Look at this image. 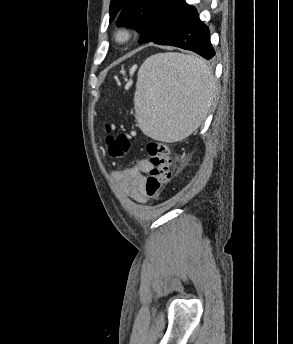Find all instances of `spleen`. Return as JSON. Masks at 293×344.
<instances>
[{
    "instance_id": "obj_1",
    "label": "spleen",
    "mask_w": 293,
    "mask_h": 344,
    "mask_svg": "<svg viewBox=\"0 0 293 344\" xmlns=\"http://www.w3.org/2000/svg\"><path fill=\"white\" fill-rule=\"evenodd\" d=\"M214 95L215 79L202 59L171 52L152 55L138 72V126L155 140L183 139L199 127Z\"/></svg>"
}]
</instances>
